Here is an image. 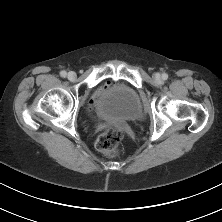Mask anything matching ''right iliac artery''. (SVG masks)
Segmentation results:
<instances>
[{
    "label": "right iliac artery",
    "mask_w": 222,
    "mask_h": 222,
    "mask_svg": "<svg viewBox=\"0 0 222 222\" xmlns=\"http://www.w3.org/2000/svg\"><path fill=\"white\" fill-rule=\"evenodd\" d=\"M60 75H61V77H66L67 73H66V71H61Z\"/></svg>",
    "instance_id": "obj_1"
}]
</instances>
